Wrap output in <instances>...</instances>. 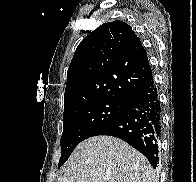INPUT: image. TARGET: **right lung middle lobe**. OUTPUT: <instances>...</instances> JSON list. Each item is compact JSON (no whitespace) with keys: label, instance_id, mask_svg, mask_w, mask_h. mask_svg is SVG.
<instances>
[{"label":"right lung middle lobe","instance_id":"dd1d6c3e","mask_svg":"<svg viewBox=\"0 0 196 182\" xmlns=\"http://www.w3.org/2000/svg\"><path fill=\"white\" fill-rule=\"evenodd\" d=\"M129 102L114 98H99L64 111L61 137V157L58 167L69 158L74 148L91 137L101 126L127 109Z\"/></svg>","mask_w":196,"mask_h":182}]
</instances>
